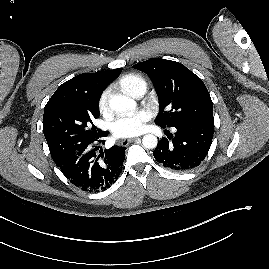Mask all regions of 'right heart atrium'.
<instances>
[{"instance_id":"obj_1","label":"right heart atrium","mask_w":269,"mask_h":269,"mask_svg":"<svg viewBox=\"0 0 269 269\" xmlns=\"http://www.w3.org/2000/svg\"><path fill=\"white\" fill-rule=\"evenodd\" d=\"M107 97H108V93L107 91L103 92L102 95L100 96L99 102H98V107L100 112H105L107 110Z\"/></svg>"}]
</instances>
